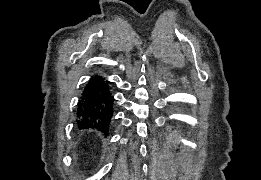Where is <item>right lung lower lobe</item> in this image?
<instances>
[{
	"mask_svg": "<svg viewBox=\"0 0 261 180\" xmlns=\"http://www.w3.org/2000/svg\"><path fill=\"white\" fill-rule=\"evenodd\" d=\"M114 97L108 81L100 76L90 79L85 86L77 109V123L81 128H93L108 135V127L113 115Z\"/></svg>",
	"mask_w": 261,
	"mask_h": 180,
	"instance_id": "obj_1",
	"label": "right lung lower lobe"
}]
</instances>
